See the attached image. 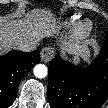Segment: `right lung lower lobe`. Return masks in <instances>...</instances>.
Segmentation results:
<instances>
[{
  "mask_svg": "<svg viewBox=\"0 0 108 108\" xmlns=\"http://www.w3.org/2000/svg\"><path fill=\"white\" fill-rule=\"evenodd\" d=\"M39 62L38 50L11 51L0 57V108L13 104L21 79Z\"/></svg>",
  "mask_w": 108,
  "mask_h": 108,
  "instance_id": "1",
  "label": "right lung lower lobe"
}]
</instances>
